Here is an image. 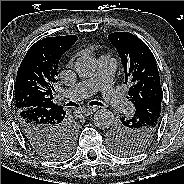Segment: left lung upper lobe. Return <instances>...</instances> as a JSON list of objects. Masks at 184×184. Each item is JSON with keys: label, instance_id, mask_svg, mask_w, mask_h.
Returning a JSON list of instances; mask_svg holds the SVG:
<instances>
[{"label": "left lung upper lobe", "instance_id": "1", "mask_svg": "<svg viewBox=\"0 0 184 184\" xmlns=\"http://www.w3.org/2000/svg\"><path fill=\"white\" fill-rule=\"evenodd\" d=\"M108 38L121 58L125 84H130L127 98L135 108L152 98L162 99L156 60L149 47L129 32L111 33ZM160 112L146 121H139L135 116L121 117L108 132L112 150L121 156H131L146 149L159 128Z\"/></svg>", "mask_w": 184, "mask_h": 184}]
</instances>
